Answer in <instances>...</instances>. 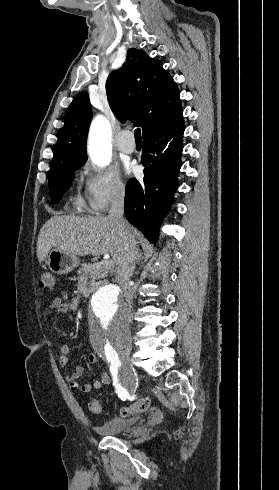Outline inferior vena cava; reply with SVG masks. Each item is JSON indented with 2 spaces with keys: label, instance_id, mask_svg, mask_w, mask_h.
Segmentation results:
<instances>
[{
  "label": "inferior vena cava",
  "instance_id": "1",
  "mask_svg": "<svg viewBox=\"0 0 279 490\" xmlns=\"http://www.w3.org/2000/svg\"><path fill=\"white\" fill-rule=\"evenodd\" d=\"M124 188H116L112 194L111 208L109 210L108 220H110L113 226L119 228L121 236L124 238V250L121 260L116 264L115 280L122 290V294L127 302L128 312L130 314V322L132 324V310H133V290L129 286L132 272H134L135 264L139 258L138 248L136 246V240L129 236V232H125V228L128 224L127 220H124Z\"/></svg>",
  "mask_w": 279,
  "mask_h": 490
}]
</instances>
